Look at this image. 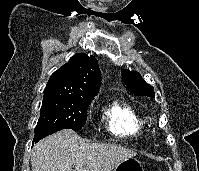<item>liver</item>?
<instances>
[{
    "instance_id": "obj_1",
    "label": "liver",
    "mask_w": 199,
    "mask_h": 171,
    "mask_svg": "<svg viewBox=\"0 0 199 171\" xmlns=\"http://www.w3.org/2000/svg\"><path fill=\"white\" fill-rule=\"evenodd\" d=\"M134 156L136 152L122 146L88 143L74 131L62 130L33 147L31 166L32 171H112Z\"/></svg>"
}]
</instances>
